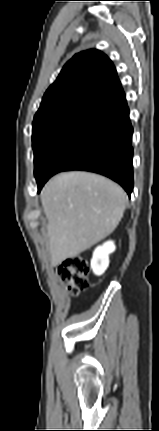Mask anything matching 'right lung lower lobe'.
Returning a JSON list of instances; mask_svg holds the SVG:
<instances>
[{
	"instance_id": "obj_1",
	"label": "right lung lower lobe",
	"mask_w": 159,
	"mask_h": 431,
	"mask_svg": "<svg viewBox=\"0 0 159 431\" xmlns=\"http://www.w3.org/2000/svg\"><path fill=\"white\" fill-rule=\"evenodd\" d=\"M132 133L126 101L84 121L52 150L38 177V191L54 174L85 170L119 183L128 195L133 190Z\"/></svg>"
}]
</instances>
